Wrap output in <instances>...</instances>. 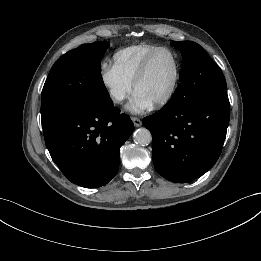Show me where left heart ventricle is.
Here are the masks:
<instances>
[{
    "mask_svg": "<svg viewBox=\"0 0 261 261\" xmlns=\"http://www.w3.org/2000/svg\"><path fill=\"white\" fill-rule=\"evenodd\" d=\"M174 77V60L170 53L159 52L152 60L146 77L135 91L152 103L162 98L169 90Z\"/></svg>",
    "mask_w": 261,
    "mask_h": 261,
    "instance_id": "obj_1",
    "label": "left heart ventricle"
}]
</instances>
